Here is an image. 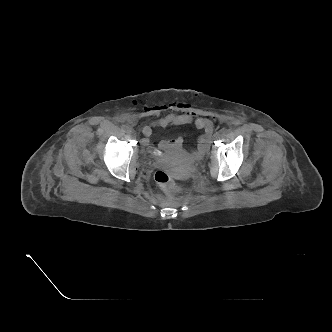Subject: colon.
<instances>
[{
  "label": "colon",
  "instance_id": "1",
  "mask_svg": "<svg viewBox=\"0 0 332 332\" xmlns=\"http://www.w3.org/2000/svg\"><path fill=\"white\" fill-rule=\"evenodd\" d=\"M156 183L168 193L175 192L177 189V183L174 178L164 170H159L155 173Z\"/></svg>",
  "mask_w": 332,
  "mask_h": 332
}]
</instances>
